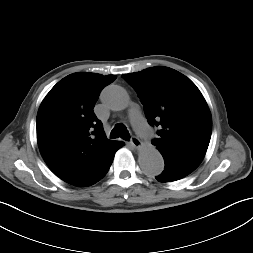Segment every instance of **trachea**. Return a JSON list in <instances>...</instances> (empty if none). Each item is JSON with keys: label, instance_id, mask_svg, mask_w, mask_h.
Listing matches in <instances>:
<instances>
[{"label": "trachea", "instance_id": "trachea-1", "mask_svg": "<svg viewBox=\"0 0 253 253\" xmlns=\"http://www.w3.org/2000/svg\"><path fill=\"white\" fill-rule=\"evenodd\" d=\"M110 137L113 139L121 137L124 140H129L130 134L124 124L118 123L115 125V127L111 131Z\"/></svg>", "mask_w": 253, "mask_h": 253}]
</instances>
